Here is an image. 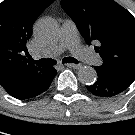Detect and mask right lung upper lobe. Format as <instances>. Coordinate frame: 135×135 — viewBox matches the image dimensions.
<instances>
[{"instance_id":"right-lung-upper-lobe-1","label":"right lung upper lobe","mask_w":135,"mask_h":135,"mask_svg":"<svg viewBox=\"0 0 135 135\" xmlns=\"http://www.w3.org/2000/svg\"><path fill=\"white\" fill-rule=\"evenodd\" d=\"M55 0H4L0 3V85L10 89L28 74L42 73L29 59L32 25Z\"/></svg>"}]
</instances>
